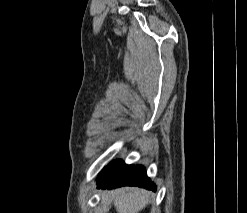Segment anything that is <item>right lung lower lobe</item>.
I'll return each instance as SVG.
<instances>
[{
  "label": "right lung lower lobe",
  "instance_id": "98d812e1",
  "mask_svg": "<svg viewBox=\"0 0 247 213\" xmlns=\"http://www.w3.org/2000/svg\"><path fill=\"white\" fill-rule=\"evenodd\" d=\"M98 188L138 186L155 191L156 186L149 180L143 166L126 165L122 160L111 162L99 174Z\"/></svg>",
  "mask_w": 247,
  "mask_h": 213
}]
</instances>
